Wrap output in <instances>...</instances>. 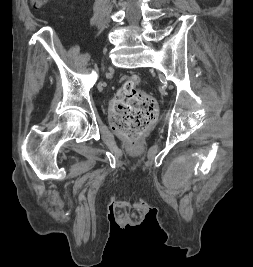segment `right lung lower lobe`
<instances>
[{"label":"right lung lower lobe","instance_id":"right-lung-lower-lobe-1","mask_svg":"<svg viewBox=\"0 0 253 267\" xmlns=\"http://www.w3.org/2000/svg\"><path fill=\"white\" fill-rule=\"evenodd\" d=\"M151 215L155 217V215H156V211H155V212H152V214H151Z\"/></svg>","mask_w":253,"mask_h":267}]
</instances>
